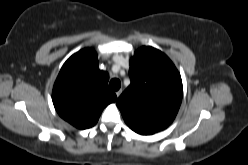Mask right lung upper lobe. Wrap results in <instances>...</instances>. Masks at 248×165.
Here are the masks:
<instances>
[{"mask_svg":"<svg viewBox=\"0 0 248 165\" xmlns=\"http://www.w3.org/2000/svg\"><path fill=\"white\" fill-rule=\"evenodd\" d=\"M108 80V73L99 70L92 48L75 53L64 63L53 87L56 111L76 128L94 126L103 109L117 99Z\"/></svg>","mask_w":248,"mask_h":165,"instance_id":"right-lung-upper-lobe-1","label":"right lung upper lobe"}]
</instances>
